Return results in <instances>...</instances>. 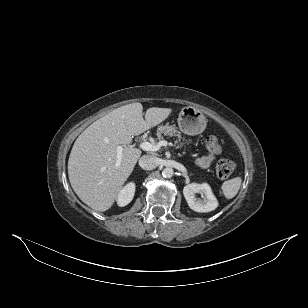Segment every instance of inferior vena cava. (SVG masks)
Returning <instances> with one entry per match:
<instances>
[{"label":"inferior vena cava","instance_id":"inferior-vena-cava-1","mask_svg":"<svg viewBox=\"0 0 308 308\" xmlns=\"http://www.w3.org/2000/svg\"><path fill=\"white\" fill-rule=\"evenodd\" d=\"M157 158L152 155H143L139 159V166L145 170H152L157 167Z\"/></svg>","mask_w":308,"mask_h":308}]
</instances>
